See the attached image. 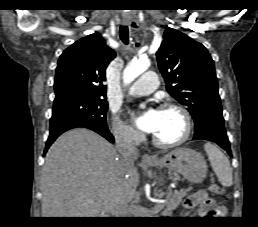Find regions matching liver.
I'll use <instances>...</instances> for the list:
<instances>
[{
    "label": "liver",
    "mask_w": 258,
    "mask_h": 227,
    "mask_svg": "<svg viewBox=\"0 0 258 227\" xmlns=\"http://www.w3.org/2000/svg\"><path fill=\"white\" fill-rule=\"evenodd\" d=\"M117 157L114 146L91 130L62 134L42 169V217H103L128 204L139 173Z\"/></svg>",
    "instance_id": "obj_1"
}]
</instances>
